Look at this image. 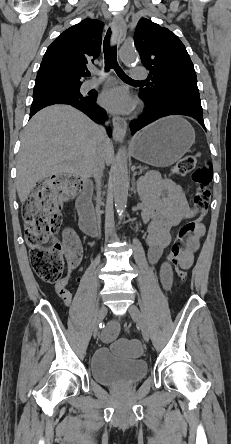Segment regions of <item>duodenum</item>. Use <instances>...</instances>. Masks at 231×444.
Listing matches in <instances>:
<instances>
[{
  "mask_svg": "<svg viewBox=\"0 0 231 444\" xmlns=\"http://www.w3.org/2000/svg\"><path fill=\"white\" fill-rule=\"evenodd\" d=\"M92 192V182L89 179H84L76 200V206L79 213L80 228L87 236H96L98 234L96 218L92 212Z\"/></svg>",
  "mask_w": 231,
  "mask_h": 444,
  "instance_id": "obj_1",
  "label": "duodenum"
}]
</instances>
